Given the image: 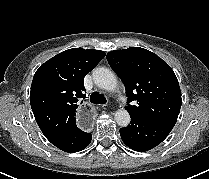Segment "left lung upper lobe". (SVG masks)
Returning <instances> with one entry per match:
<instances>
[{
    "instance_id": "left-lung-upper-lobe-1",
    "label": "left lung upper lobe",
    "mask_w": 209,
    "mask_h": 179,
    "mask_svg": "<svg viewBox=\"0 0 209 179\" xmlns=\"http://www.w3.org/2000/svg\"><path fill=\"white\" fill-rule=\"evenodd\" d=\"M111 68L123 81L128 97L125 109L152 121L174 126L182 104L173 70L156 54L131 47L107 54Z\"/></svg>"
}]
</instances>
